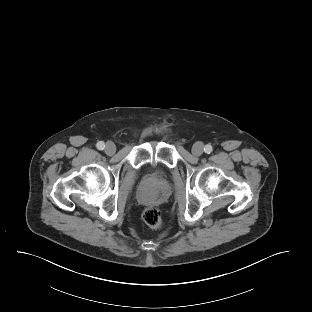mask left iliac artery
I'll list each match as a JSON object with an SVG mask.
<instances>
[{
  "label": "left iliac artery",
  "mask_w": 312,
  "mask_h": 312,
  "mask_svg": "<svg viewBox=\"0 0 312 312\" xmlns=\"http://www.w3.org/2000/svg\"><path fill=\"white\" fill-rule=\"evenodd\" d=\"M204 151H205V153L210 154L213 151V148H212V146L210 144H207L204 147Z\"/></svg>",
  "instance_id": "left-iliac-artery-1"
}]
</instances>
